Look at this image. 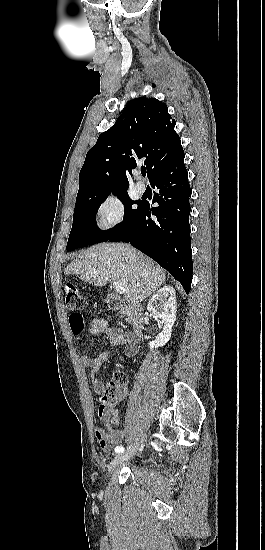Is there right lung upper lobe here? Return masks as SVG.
I'll list each match as a JSON object with an SVG mask.
<instances>
[{"mask_svg":"<svg viewBox=\"0 0 265 550\" xmlns=\"http://www.w3.org/2000/svg\"><path fill=\"white\" fill-rule=\"evenodd\" d=\"M168 107L155 98H136L88 151L79 174L77 198L127 191V172L143 159L149 180L181 149Z\"/></svg>","mask_w":265,"mask_h":550,"instance_id":"cb5924a9","label":"right lung upper lobe"}]
</instances>
